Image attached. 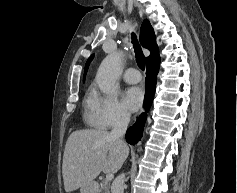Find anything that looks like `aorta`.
I'll list each match as a JSON object with an SVG mask.
<instances>
[{
  "label": "aorta",
  "mask_w": 237,
  "mask_h": 193,
  "mask_svg": "<svg viewBox=\"0 0 237 193\" xmlns=\"http://www.w3.org/2000/svg\"><path fill=\"white\" fill-rule=\"evenodd\" d=\"M122 60V53L117 52L108 55L101 63L97 75L96 82L104 93H111L115 85Z\"/></svg>",
  "instance_id": "762f6f07"
}]
</instances>
